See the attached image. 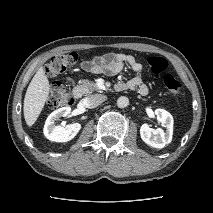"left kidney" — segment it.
I'll use <instances>...</instances> for the list:
<instances>
[{
    "mask_svg": "<svg viewBox=\"0 0 213 213\" xmlns=\"http://www.w3.org/2000/svg\"><path fill=\"white\" fill-rule=\"evenodd\" d=\"M157 120L166 128L152 129L148 124H143L140 128L141 139L149 146L154 148H164L172 140L173 135V116L164 109H156Z\"/></svg>",
    "mask_w": 213,
    "mask_h": 213,
    "instance_id": "left-kidney-1",
    "label": "left kidney"
}]
</instances>
